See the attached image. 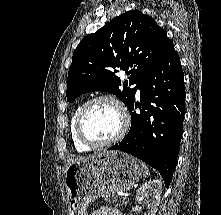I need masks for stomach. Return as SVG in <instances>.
I'll list each match as a JSON object with an SVG mask.
<instances>
[{
  "label": "stomach",
  "instance_id": "0dacf381",
  "mask_svg": "<svg viewBox=\"0 0 221 215\" xmlns=\"http://www.w3.org/2000/svg\"><path fill=\"white\" fill-rule=\"evenodd\" d=\"M142 174V163L120 151H104L70 164L65 173L69 215H87L89 203L129 190Z\"/></svg>",
  "mask_w": 221,
  "mask_h": 215
}]
</instances>
